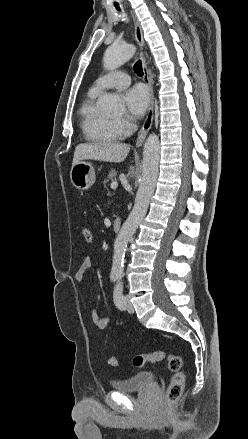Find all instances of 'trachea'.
I'll return each mask as SVG.
<instances>
[{"label": "trachea", "instance_id": "trachea-1", "mask_svg": "<svg viewBox=\"0 0 248 439\" xmlns=\"http://www.w3.org/2000/svg\"><path fill=\"white\" fill-rule=\"evenodd\" d=\"M116 9L118 11H120L119 6L115 5ZM134 72L138 75V76H142L143 75V68H142V63L140 60H138L135 65H134Z\"/></svg>", "mask_w": 248, "mask_h": 439}]
</instances>
